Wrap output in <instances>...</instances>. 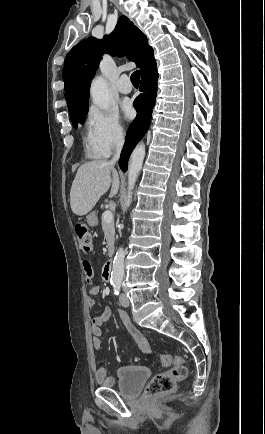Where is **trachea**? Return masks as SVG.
<instances>
[{
  "label": "trachea",
  "mask_w": 265,
  "mask_h": 434,
  "mask_svg": "<svg viewBox=\"0 0 265 434\" xmlns=\"http://www.w3.org/2000/svg\"><path fill=\"white\" fill-rule=\"evenodd\" d=\"M130 78L133 85H139V81H140L139 70L133 72Z\"/></svg>",
  "instance_id": "obj_1"
}]
</instances>
